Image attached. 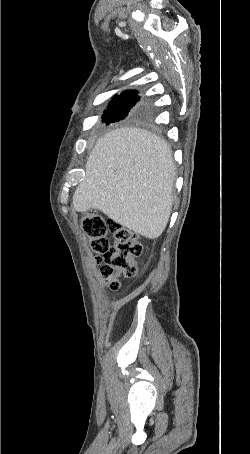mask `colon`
<instances>
[{
    "instance_id": "5ec220e1",
    "label": "colon",
    "mask_w": 250,
    "mask_h": 454,
    "mask_svg": "<svg viewBox=\"0 0 250 454\" xmlns=\"http://www.w3.org/2000/svg\"><path fill=\"white\" fill-rule=\"evenodd\" d=\"M81 227L96 254L100 275L111 290L119 288L120 277L135 276V258L141 255L142 244L134 232L117 222L104 219L94 211L85 214ZM109 232L114 234L113 244L107 237Z\"/></svg>"
}]
</instances>
